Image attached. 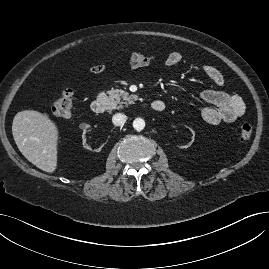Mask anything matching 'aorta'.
Masks as SVG:
<instances>
[{
  "label": "aorta",
  "mask_w": 269,
  "mask_h": 269,
  "mask_svg": "<svg viewBox=\"0 0 269 269\" xmlns=\"http://www.w3.org/2000/svg\"><path fill=\"white\" fill-rule=\"evenodd\" d=\"M133 127H134L135 130L141 131L145 127V121L142 118H136L133 121Z\"/></svg>",
  "instance_id": "762f6f07"
}]
</instances>
